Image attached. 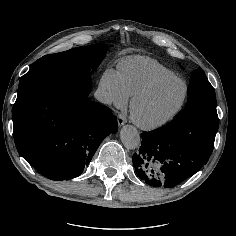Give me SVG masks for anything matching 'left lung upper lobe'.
Returning <instances> with one entry per match:
<instances>
[{
  "instance_id": "5c2ea615",
  "label": "left lung upper lobe",
  "mask_w": 236,
  "mask_h": 236,
  "mask_svg": "<svg viewBox=\"0 0 236 236\" xmlns=\"http://www.w3.org/2000/svg\"><path fill=\"white\" fill-rule=\"evenodd\" d=\"M188 99L185 107L192 104H206L216 106L215 91L207 80L201 68L192 72L188 90Z\"/></svg>"
}]
</instances>
